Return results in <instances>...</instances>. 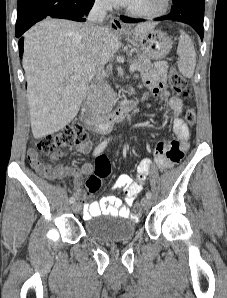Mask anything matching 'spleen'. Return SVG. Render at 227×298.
Listing matches in <instances>:
<instances>
[{"instance_id": "obj_1", "label": "spleen", "mask_w": 227, "mask_h": 298, "mask_svg": "<svg viewBox=\"0 0 227 298\" xmlns=\"http://www.w3.org/2000/svg\"><path fill=\"white\" fill-rule=\"evenodd\" d=\"M180 33L177 48L179 56L178 69L183 76L191 78L196 65V52L191 38L182 30H180Z\"/></svg>"}]
</instances>
